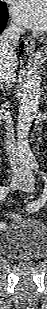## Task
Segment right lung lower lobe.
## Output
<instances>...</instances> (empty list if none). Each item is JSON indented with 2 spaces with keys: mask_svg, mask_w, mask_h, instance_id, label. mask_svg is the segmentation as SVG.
<instances>
[{
  "mask_svg": "<svg viewBox=\"0 0 47 309\" xmlns=\"http://www.w3.org/2000/svg\"><path fill=\"white\" fill-rule=\"evenodd\" d=\"M7 20H8V10L5 5L0 8V33L3 31L7 23ZM21 47H23V43L21 44Z\"/></svg>",
  "mask_w": 47,
  "mask_h": 309,
  "instance_id": "1",
  "label": "right lung lower lobe"
}]
</instances>
